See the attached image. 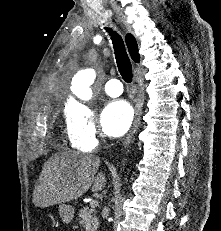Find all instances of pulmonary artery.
<instances>
[{"label": "pulmonary artery", "instance_id": "pulmonary-artery-1", "mask_svg": "<svg viewBox=\"0 0 221 231\" xmlns=\"http://www.w3.org/2000/svg\"><path fill=\"white\" fill-rule=\"evenodd\" d=\"M104 89H105V92L107 93V95H109L111 97H118L123 92L122 84L117 79H111V80L107 81Z\"/></svg>", "mask_w": 221, "mask_h": 231}]
</instances>
